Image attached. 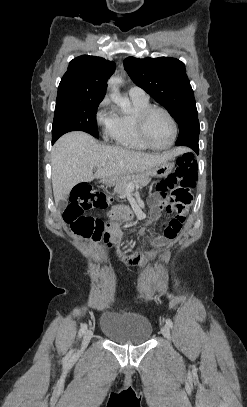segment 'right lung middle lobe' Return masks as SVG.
<instances>
[{"label":"right lung middle lobe","instance_id":"right-lung-middle-lobe-1","mask_svg":"<svg viewBox=\"0 0 247 407\" xmlns=\"http://www.w3.org/2000/svg\"><path fill=\"white\" fill-rule=\"evenodd\" d=\"M102 99L56 100L52 142L70 131H84L98 138L96 112Z\"/></svg>","mask_w":247,"mask_h":407}]
</instances>
